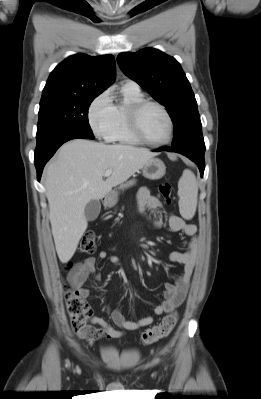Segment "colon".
Segmentation results:
<instances>
[{
    "label": "colon",
    "mask_w": 261,
    "mask_h": 399,
    "mask_svg": "<svg viewBox=\"0 0 261 399\" xmlns=\"http://www.w3.org/2000/svg\"><path fill=\"white\" fill-rule=\"evenodd\" d=\"M159 192L163 200L171 203V185L162 182L159 185ZM96 237L93 233H85L79 240L78 251L90 254L95 251ZM66 310L71 321L72 328L78 336H86L88 321L92 316L91 307L85 303L79 292L75 289L66 288L65 290ZM178 320V315L172 312L166 315L159 324L147 329L141 335V343L144 345L153 344L160 339L167 337L174 329Z\"/></svg>",
    "instance_id": "5ec220e1"
}]
</instances>
